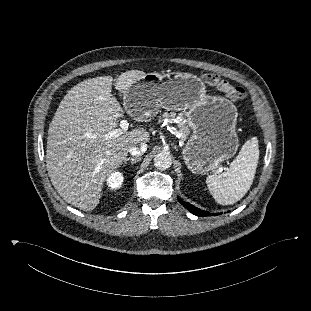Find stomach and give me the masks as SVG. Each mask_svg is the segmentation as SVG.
Masks as SVG:
<instances>
[{
    "label": "stomach",
    "mask_w": 311,
    "mask_h": 311,
    "mask_svg": "<svg viewBox=\"0 0 311 311\" xmlns=\"http://www.w3.org/2000/svg\"><path fill=\"white\" fill-rule=\"evenodd\" d=\"M125 109L149 121L160 108L182 111L193 131L182 149L194 173L214 170L238 149L237 108L223 97L206 94L204 82L191 73H147L124 94Z\"/></svg>",
    "instance_id": "obj_1"
}]
</instances>
